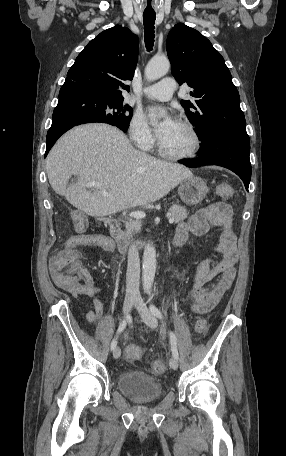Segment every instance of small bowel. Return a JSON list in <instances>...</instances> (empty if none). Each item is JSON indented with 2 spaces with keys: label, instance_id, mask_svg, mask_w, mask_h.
<instances>
[{
  "label": "small bowel",
  "instance_id": "small-bowel-1",
  "mask_svg": "<svg viewBox=\"0 0 286 456\" xmlns=\"http://www.w3.org/2000/svg\"><path fill=\"white\" fill-rule=\"evenodd\" d=\"M234 215L231 207L222 202L211 204L201 208L186 222L178 225L176 234H182L187 238L189 233L202 235L211 228L221 229V236L217 251L221 258H208L194 268L191 287L195 297V303L190 310L195 314H204L211 311L221 300L225 292L231 287L236 276V265L239 259V250L236 243V235L233 230ZM66 246L99 248L107 252H114L115 245L109 237L95 234H78L69 238ZM102 286L97 284L92 275H87L82 286L69 291L74 297H89L92 307L86 312V318L90 323L101 319L104 305L100 299ZM136 346H127L128 350Z\"/></svg>",
  "mask_w": 286,
  "mask_h": 456
}]
</instances>
